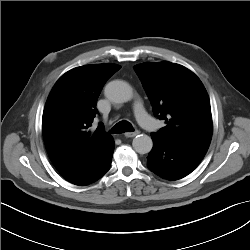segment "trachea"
<instances>
[{
	"instance_id": "trachea-1",
	"label": "trachea",
	"mask_w": 250,
	"mask_h": 250,
	"mask_svg": "<svg viewBox=\"0 0 250 250\" xmlns=\"http://www.w3.org/2000/svg\"><path fill=\"white\" fill-rule=\"evenodd\" d=\"M133 126L130 122L128 121H120L118 122L110 131V133L113 134H120V133H124V132H133Z\"/></svg>"
}]
</instances>
